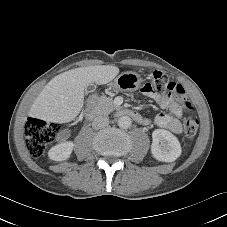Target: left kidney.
I'll list each match as a JSON object with an SVG mask.
<instances>
[{
  "instance_id": "5707ae66",
  "label": "left kidney",
  "mask_w": 227,
  "mask_h": 227,
  "mask_svg": "<svg viewBox=\"0 0 227 227\" xmlns=\"http://www.w3.org/2000/svg\"><path fill=\"white\" fill-rule=\"evenodd\" d=\"M151 152L158 161L173 162L181 155V145L171 132L156 129L152 133Z\"/></svg>"
}]
</instances>
